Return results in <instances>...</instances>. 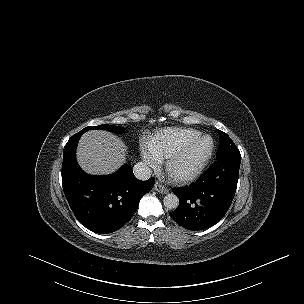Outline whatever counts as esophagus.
<instances>
[{"mask_svg":"<svg viewBox=\"0 0 304 304\" xmlns=\"http://www.w3.org/2000/svg\"><path fill=\"white\" fill-rule=\"evenodd\" d=\"M154 190L161 193V194H166L169 192V189L166 188L164 185H162L160 182H155L154 185Z\"/></svg>","mask_w":304,"mask_h":304,"instance_id":"esophagus-1","label":"esophagus"}]
</instances>
